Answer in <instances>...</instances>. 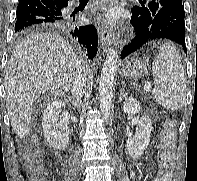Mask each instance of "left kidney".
<instances>
[{"label": "left kidney", "instance_id": "obj_1", "mask_svg": "<svg viewBox=\"0 0 197 181\" xmlns=\"http://www.w3.org/2000/svg\"><path fill=\"white\" fill-rule=\"evenodd\" d=\"M140 110L141 106L139 102L132 97L127 99L123 105L124 113L137 114ZM152 130L151 119L148 116H142L138 120L135 136L127 140L126 149L132 158L137 159L143 154L149 145Z\"/></svg>", "mask_w": 197, "mask_h": 181}]
</instances>
